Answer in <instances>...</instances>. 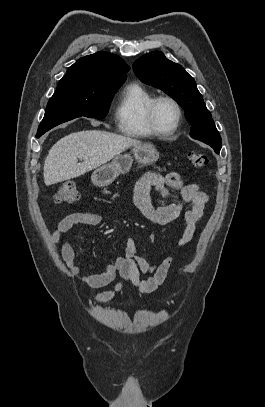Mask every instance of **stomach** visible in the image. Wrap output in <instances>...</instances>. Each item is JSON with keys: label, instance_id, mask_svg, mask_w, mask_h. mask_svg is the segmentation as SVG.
I'll use <instances>...</instances> for the list:
<instances>
[{"label": "stomach", "instance_id": "1", "mask_svg": "<svg viewBox=\"0 0 265 407\" xmlns=\"http://www.w3.org/2000/svg\"><path fill=\"white\" fill-rule=\"evenodd\" d=\"M132 155L119 154L106 165L97 168L91 176L94 185L105 187L111 184L120 174L127 173L133 163V158L140 164H152L159 158L157 149L149 143H141L132 147Z\"/></svg>", "mask_w": 265, "mask_h": 407}]
</instances>
